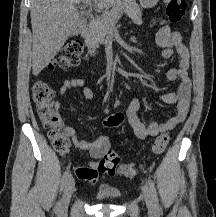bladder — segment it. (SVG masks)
Listing matches in <instances>:
<instances>
[{"label": "bladder", "mask_w": 216, "mask_h": 217, "mask_svg": "<svg viewBox=\"0 0 216 217\" xmlns=\"http://www.w3.org/2000/svg\"><path fill=\"white\" fill-rule=\"evenodd\" d=\"M95 196L100 200H116L121 196V193L112 189H99Z\"/></svg>", "instance_id": "obj_1"}]
</instances>
